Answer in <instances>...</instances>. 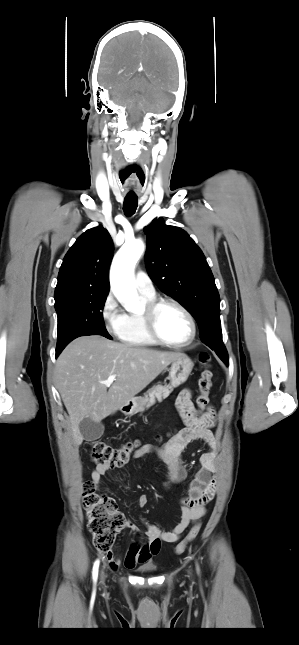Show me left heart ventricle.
Wrapping results in <instances>:
<instances>
[{
  "label": "left heart ventricle",
  "mask_w": 299,
  "mask_h": 645,
  "mask_svg": "<svg viewBox=\"0 0 299 645\" xmlns=\"http://www.w3.org/2000/svg\"><path fill=\"white\" fill-rule=\"evenodd\" d=\"M157 327L161 336L171 342L185 341L191 332L185 314L175 306L162 307L157 317Z\"/></svg>",
  "instance_id": "1"
}]
</instances>
